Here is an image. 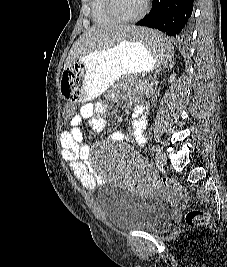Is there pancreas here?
I'll use <instances>...</instances> for the list:
<instances>
[{
	"mask_svg": "<svg viewBox=\"0 0 227 267\" xmlns=\"http://www.w3.org/2000/svg\"><path fill=\"white\" fill-rule=\"evenodd\" d=\"M118 84L126 86V88L128 89H132L137 92H142L143 90H145V85L147 83L145 80L133 76H125Z\"/></svg>",
	"mask_w": 227,
	"mask_h": 267,
	"instance_id": "pancreas-1",
	"label": "pancreas"
}]
</instances>
